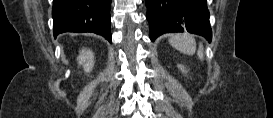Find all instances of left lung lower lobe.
I'll use <instances>...</instances> for the list:
<instances>
[{
	"label": "left lung lower lobe",
	"instance_id": "1",
	"mask_svg": "<svg viewBox=\"0 0 273 118\" xmlns=\"http://www.w3.org/2000/svg\"><path fill=\"white\" fill-rule=\"evenodd\" d=\"M146 7L152 41L164 33L184 31L211 41L206 0H146Z\"/></svg>",
	"mask_w": 273,
	"mask_h": 118
}]
</instances>
